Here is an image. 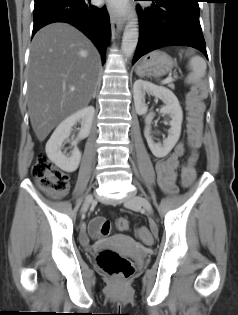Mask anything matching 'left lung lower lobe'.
<instances>
[{
  "mask_svg": "<svg viewBox=\"0 0 238 315\" xmlns=\"http://www.w3.org/2000/svg\"><path fill=\"white\" fill-rule=\"evenodd\" d=\"M152 7L142 10L140 33L133 64L143 55L164 46H189L207 56L199 21V0H150Z\"/></svg>",
  "mask_w": 238,
  "mask_h": 315,
  "instance_id": "1",
  "label": "left lung lower lobe"
}]
</instances>
